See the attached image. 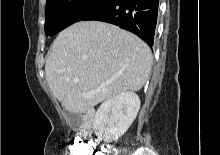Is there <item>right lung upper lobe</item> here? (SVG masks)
<instances>
[{"label":"right lung upper lobe","instance_id":"1","mask_svg":"<svg viewBox=\"0 0 220 155\" xmlns=\"http://www.w3.org/2000/svg\"><path fill=\"white\" fill-rule=\"evenodd\" d=\"M52 0H47V2L46 3H49V2H51Z\"/></svg>","mask_w":220,"mask_h":155}]
</instances>
